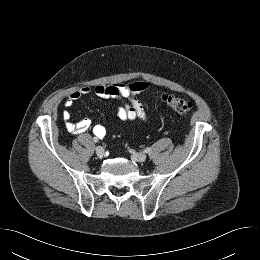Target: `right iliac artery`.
<instances>
[{
    "instance_id": "obj_1",
    "label": "right iliac artery",
    "mask_w": 260,
    "mask_h": 260,
    "mask_svg": "<svg viewBox=\"0 0 260 260\" xmlns=\"http://www.w3.org/2000/svg\"><path fill=\"white\" fill-rule=\"evenodd\" d=\"M94 142H98V139H97V138H94Z\"/></svg>"
}]
</instances>
